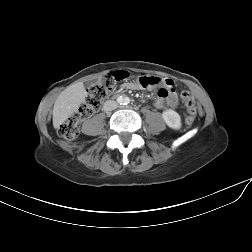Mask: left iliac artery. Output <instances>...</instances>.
I'll return each mask as SVG.
<instances>
[{"instance_id": "left-iliac-artery-1", "label": "left iliac artery", "mask_w": 252, "mask_h": 252, "mask_svg": "<svg viewBox=\"0 0 252 252\" xmlns=\"http://www.w3.org/2000/svg\"><path fill=\"white\" fill-rule=\"evenodd\" d=\"M129 103H130V99H129V98H125L124 104L127 105V104H129Z\"/></svg>"}]
</instances>
